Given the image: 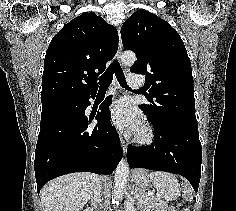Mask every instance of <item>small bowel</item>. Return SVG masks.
Instances as JSON below:
<instances>
[{
    "mask_svg": "<svg viewBox=\"0 0 236 211\" xmlns=\"http://www.w3.org/2000/svg\"><path fill=\"white\" fill-rule=\"evenodd\" d=\"M144 211H173V209L166 206L163 202L157 201L155 206L152 209H148Z\"/></svg>",
    "mask_w": 236,
    "mask_h": 211,
    "instance_id": "obj_1",
    "label": "small bowel"
}]
</instances>
